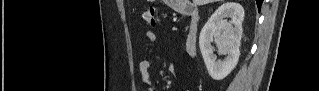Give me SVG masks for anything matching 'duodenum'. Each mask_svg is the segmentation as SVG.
Returning <instances> with one entry per match:
<instances>
[{
    "label": "duodenum",
    "instance_id": "duodenum-1",
    "mask_svg": "<svg viewBox=\"0 0 319 91\" xmlns=\"http://www.w3.org/2000/svg\"><path fill=\"white\" fill-rule=\"evenodd\" d=\"M183 12L190 17L189 28L185 40V51L190 57H194L197 51L200 18L197 8L192 4L186 5Z\"/></svg>",
    "mask_w": 319,
    "mask_h": 91
}]
</instances>
